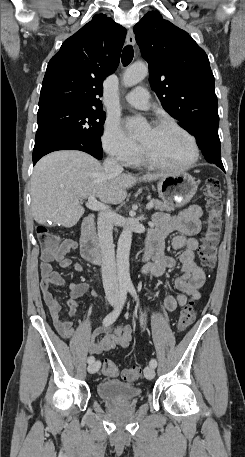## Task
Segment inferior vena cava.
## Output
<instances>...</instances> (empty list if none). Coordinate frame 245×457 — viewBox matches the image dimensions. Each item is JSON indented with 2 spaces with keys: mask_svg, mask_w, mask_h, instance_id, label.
<instances>
[{
  "mask_svg": "<svg viewBox=\"0 0 245 457\" xmlns=\"http://www.w3.org/2000/svg\"><path fill=\"white\" fill-rule=\"evenodd\" d=\"M104 170L107 174H120L124 170L114 158H105ZM114 212L101 210L98 214V237L102 253V279L107 297H118L119 285L116 273L115 251L113 245L112 218Z\"/></svg>",
  "mask_w": 245,
  "mask_h": 457,
  "instance_id": "1",
  "label": "inferior vena cava"
}]
</instances>
